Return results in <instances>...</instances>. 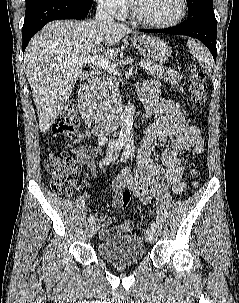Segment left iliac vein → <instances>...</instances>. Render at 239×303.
Wrapping results in <instances>:
<instances>
[{"label":"left iliac vein","mask_w":239,"mask_h":303,"mask_svg":"<svg viewBox=\"0 0 239 303\" xmlns=\"http://www.w3.org/2000/svg\"><path fill=\"white\" fill-rule=\"evenodd\" d=\"M145 237H146V240H147L149 243H155L156 240H157L156 231L153 230V229H148V230H146V232H145Z\"/></svg>","instance_id":"1"}]
</instances>
